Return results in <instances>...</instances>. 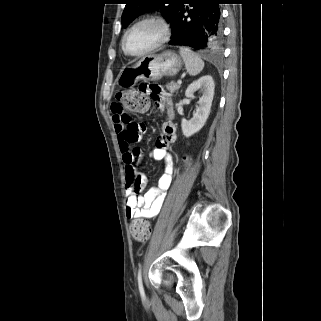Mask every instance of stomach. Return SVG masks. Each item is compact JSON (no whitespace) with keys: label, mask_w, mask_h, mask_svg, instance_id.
Instances as JSON below:
<instances>
[{"label":"stomach","mask_w":321,"mask_h":321,"mask_svg":"<svg viewBox=\"0 0 321 321\" xmlns=\"http://www.w3.org/2000/svg\"><path fill=\"white\" fill-rule=\"evenodd\" d=\"M182 64L181 57L174 51L148 55L135 65L123 69L117 83L122 87H133L139 80H159L163 76H175Z\"/></svg>","instance_id":"1"}]
</instances>
